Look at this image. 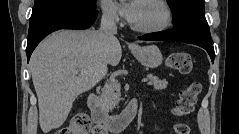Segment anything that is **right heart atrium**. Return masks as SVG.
<instances>
[{
  "label": "right heart atrium",
  "mask_w": 239,
  "mask_h": 134,
  "mask_svg": "<svg viewBox=\"0 0 239 134\" xmlns=\"http://www.w3.org/2000/svg\"><path fill=\"white\" fill-rule=\"evenodd\" d=\"M101 10L103 18L109 23H117L120 20L119 9L114 1L102 0Z\"/></svg>",
  "instance_id": "d8ad5b80"
}]
</instances>
